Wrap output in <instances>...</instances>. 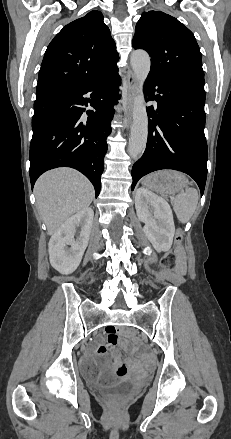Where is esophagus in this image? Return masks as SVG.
<instances>
[{
    "instance_id": "esophagus-1",
    "label": "esophagus",
    "mask_w": 231,
    "mask_h": 439,
    "mask_svg": "<svg viewBox=\"0 0 231 439\" xmlns=\"http://www.w3.org/2000/svg\"><path fill=\"white\" fill-rule=\"evenodd\" d=\"M125 85H126V90H125V102L123 103V110H124L125 121L129 123L131 118V110L133 107V102L137 94V80L135 74L132 71L128 73Z\"/></svg>"
}]
</instances>
